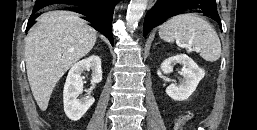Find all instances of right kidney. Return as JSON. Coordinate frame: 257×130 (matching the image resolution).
<instances>
[{
  "mask_svg": "<svg viewBox=\"0 0 257 130\" xmlns=\"http://www.w3.org/2000/svg\"><path fill=\"white\" fill-rule=\"evenodd\" d=\"M92 70V83H100L102 80L101 59L92 55L77 62L69 71L63 90L64 111L72 121H78L94 103V98L85 96L78 99L83 91L81 74L84 70Z\"/></svg>",
  "mask_w": 257,
  "mask_h": 130,
  "instance_id": "1",
  "label": "right kidney"
}]
</instances>
